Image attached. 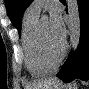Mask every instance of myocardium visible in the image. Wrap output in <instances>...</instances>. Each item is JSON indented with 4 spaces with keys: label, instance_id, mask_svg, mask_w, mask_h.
<instances>
[{
    "label": "myocardium",
    "instance_id": "f54148a6",
    "mask_svg": "<svg viewBox=\"0 0 89 89\" xmlns=\"http://www.w3.org/2000/svg\"><path fill=\"white\" fill-rule=\"evenodd\" d=\"M35 43H36V49L38 52V55L42 59V61L51 67H54V69L60 64V62L63 60L66 51H67V44L65 41L62 43V47L60 52L58 53L57 56L52 57L46 50L43 38H42V28H41V23H38L37 29H36V34H35Z\"/></svg>",
    "mask_w": 89,
    "mask_h": 89
}]
</instances>
